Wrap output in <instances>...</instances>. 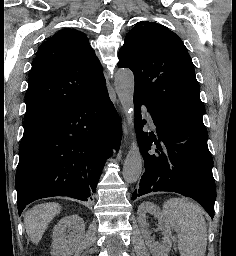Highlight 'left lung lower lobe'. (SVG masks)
<instances>
[{
  "instance_id": "left-lung-lower-lobe-1",
  "label": "left lung lower lobe",
  "mask_w": 236,
  "mask_h": 256,
  "mask_svg": "<svg viewBox=\"0 0 236 256\" xmlns=\"http://www.w3.org/2000/svg\"><path fill=\"white\" fill-rule=\"evenodd\" d=\"M134 105L135 130L145 172L132 199L152 191L176 192L196 200L213 217L216 187L205 125L136 96ZM141 105L147 107L155 133L142 131L146 120H141Z\"/></svg>"
}]
</instances>
